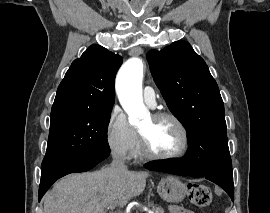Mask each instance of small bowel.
<instances>
[{
    "label": "small bowel",
    "instance_id": "obj_1",
    "mask_svg": "<svg viewBox=\"0 0 270 213\" xmlns=\"http://www.w3.org/2000/svg\"><path fill=\"white\" fill-rule=\"evenodd\" d=\"M169 212L170 213H194L191 210L185 209L183 207H179V206H171L169 208Z\"/></svg>",
    "mask_w": 270,
    "mask_h": 213
}]
</instances>
